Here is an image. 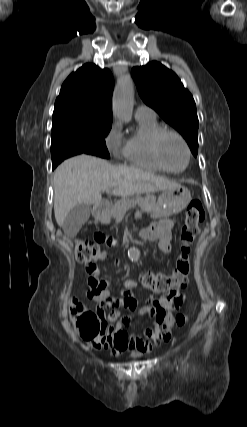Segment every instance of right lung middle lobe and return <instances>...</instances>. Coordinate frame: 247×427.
<instances>
[{
    "label": "right lung middle lobe",
    "mask_w": 247,
    "mask_h": 427,
    "mask_svg": "<svg viewBox=\"0 0 247 427\" xmlns=\"http://www.w3.org/2000/svg\"><path fill=\"white\" fill-rule=\"evenodd\" d=\"M52 159L81 153L109 158L105 137L112 120H95L76 112H60L52 118Z\"/></svg>",
    "instance_id": "dd1d6c3e"
}]
</instances>
